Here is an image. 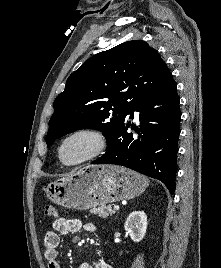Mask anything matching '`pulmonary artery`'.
Instances as JSON below:
<instances>
[{"mask_svg": "<svg viewBox=\"0 0 221 268\" xmlns=\"http://www.w3.org/2000/svg\"><path fill=\"white\" fill-rule=\"evenodd\" d=\"M134 115L136 116V115H137V113H136V112H134Z\"/></svg>", "mask_w": 221, "mask_h": 268, "instance_id": "obj_1", "label": "pulmonary artery"}]
</instances>
